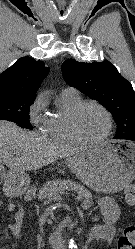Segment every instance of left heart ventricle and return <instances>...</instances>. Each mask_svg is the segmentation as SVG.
Instances as JSON below:
<instances>
[{
	"label": "left heart ventricle",
	"mask_w": 135,
	"mask_h": 249,
	"mask_svg": "<svg viewBox=\"0 0 135 249\" xmlns=\"http://www.w3.org/2000/svg\"><path fill=\"white\" fill-rule=\"evenodd\" d=\"M78 127L88 139H97L106 133L108 122L100 109L89 106L82 111L78 119Z\"/></svg>",
	"instance_id": "1"
}]
</instances>
